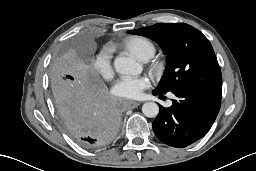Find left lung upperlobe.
I'll return each mask as SVG.
<instances>
[{
	"label": "left lung upper lobe",
	"instance_id": "left-lung-upper-lobe-1",
	"mask_svg": "<svg viewBox=\"0 0 256 171\" xmlns=\"http://www.w3.org/2000/svg\"><path fill=\"white\" fill-rule=\"evenodd\" d=\"M159 44L167 67L155 91L166 94L184 85L222 88V75L209 40L185 23H157L128 31Z\"/></svg>",
	"mask_w": 256,
	"mask_h": 171
}]
</instances>
